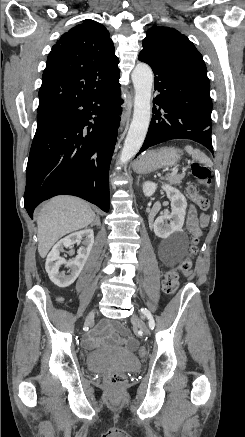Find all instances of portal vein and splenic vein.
I'll return each mask as SVG.
<instances>
[{
    "mask_svg": "<svg viewBox=\"0 0 245 437\" xmlns=\"http://www.w3.org/2000/svg\"><path fill=\"white\" fill-rule=\"evenodd\" d=\"M175 173H176V170H173L172 174H175Z\"/></svg>",
    "mask_w": 245,
    "mask_h": 437,
    "instance_id": "portal-vein-and-splenic-vein-1",
    "label": "portal vein and splenic vein"
}]
</instances>
